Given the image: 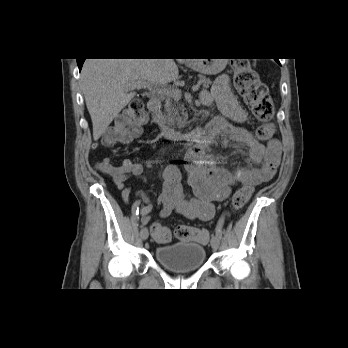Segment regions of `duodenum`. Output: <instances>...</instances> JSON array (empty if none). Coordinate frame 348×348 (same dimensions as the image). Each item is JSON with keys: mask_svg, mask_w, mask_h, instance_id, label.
<instances>
[{"mask_svg": "<svg viewBox=\"0 0 348 348\" xmlns=\"http://www.w3.org/2000/svg\"><path fill=\"white\" fill-rule=\"evenodd\" d=\"M162 103L158 98L149 100L148 109L154 116L155 122L160 126L162 134L168 138L182 140L187 143H192L196 147H203V145L212 137L213 133L210 127L205 129L196 128L186 133L176 132L168 127L162 125L161 116Z\"/></svg>", "mask_w": 348, "mask_h": 348, "instance_id": "obj_1", "label": "duodenum"}]
</instances>
